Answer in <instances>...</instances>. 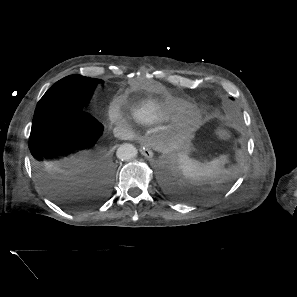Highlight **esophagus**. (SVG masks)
<instances>
[{
	"instance_id": "1",
	"label": "esophagus",
	"mask_w": 297,
	"mask_h": 297,
	"mask_svg": "<svg viewBox=\"0 0 297 297\" xmlns=\"http://www.w3.org/2000/svg\"><path fill=\"white\" fill-rule=\"evenodd\" d=\"M141 154L147 159H151L153 157V152L150 148V144L148 142L144 143L140 148Z\"/></svg>"
}]
</instances>
